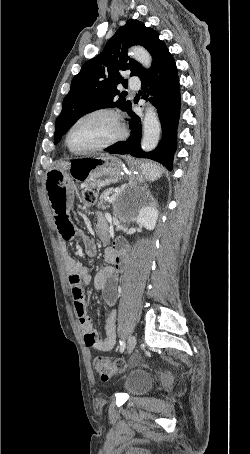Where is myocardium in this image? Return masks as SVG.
Masks as SVG:
<instances>
[{
  "label": "myocardium",
  "instance_id": "obj_1",
  "mask_svg": "<svg viewBox=\"0 0 250 454\" xmlns=\"http://www.w3.org/2000/svg\"><path fill=\"white\" fill-rule=\"evenodd\" d=\"M96 115H107V116L111 117L115 124V127H116V134L113 137H111L109 140H107L99 145L93 146L91 148L83 149V150L74 149L70 144V136H71L73 129L79 123L84 121L85 119H88V118H90L92 116H96ZM125 136H126V129L122 123L120 114L117 111H115L114 109L101 107V108H96V109L90 110V111L84 113L83 115H81L80 117H78L73 122V124L69 127L67 134H66L65 142H66L68 149L75 154H91V153L102 151V150H105V149H108V148L114 146L115 144L122 141L125 138Z\"/></svg>",
  "mask_w": 250,
  "mask_h": 454
}]
</instances>
